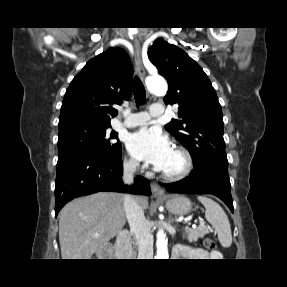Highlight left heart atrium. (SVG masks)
<instances>
[{
    "label": "left heart atrium",
    "mask_w": 287,
    "mask_h": 287,
    "mask_svg": "<svg viewBox=\"0 0 287 287\" xmlns=\"http://www.w3.org/2000/svg\"><path fill=\"white\" fill-rule=\"evenodd\" d=\"M129 152L138 160L162 171L172 151L168 138L157 129L142 128L127 140Z\"/></svg>",
    "instance_id": "left-heart-atrium-1"
}]
</instances>
